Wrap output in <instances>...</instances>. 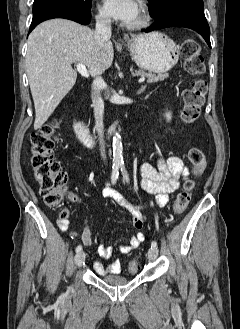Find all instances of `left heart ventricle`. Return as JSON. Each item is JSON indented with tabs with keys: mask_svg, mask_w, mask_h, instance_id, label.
I'll return each instance as SVG.
<instances>
[{
	"mask_svg": "<svg viewBox=\"0 0 240 329\" xmlns=\"http://www.w3.org/2000/svg\"><path fill=\"white\" fill-rule=\"evenodd\" d=\"M139 17H140V12L138 11L136 17H135L133 20H131L129 23H134V22H136V21L139 19Z\"/></svg>",
	"mask_w": 240,
	"mask_h": 329,
	"instance_id": "obj_1",
	"label": "left heart ventricle"
}]
</instances>
